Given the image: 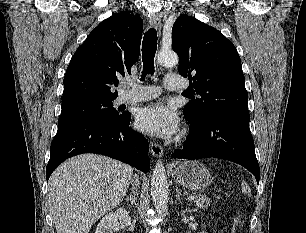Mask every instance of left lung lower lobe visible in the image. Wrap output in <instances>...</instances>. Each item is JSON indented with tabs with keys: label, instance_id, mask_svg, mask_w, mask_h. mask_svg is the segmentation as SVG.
Segmentation results:
<instances>
[{
	"label": "left lung lower lobe",
	"instance_id": "0a47b994",
	"mask_svg": "<svg viewBox=\"0 0 306 233\" xmlns=\"http://www.w3.org/2000/svg\"><path fill=\"white\" fill-rule=\"evenodd\" d=\"M247 115L219 113L190 124V134L177 159L215 157L238 163L249 170L259 183L260 168L254 151Z\"/></svg>",
	"mask_w": 306,
	"mask_h": 233
}]
</instances>
